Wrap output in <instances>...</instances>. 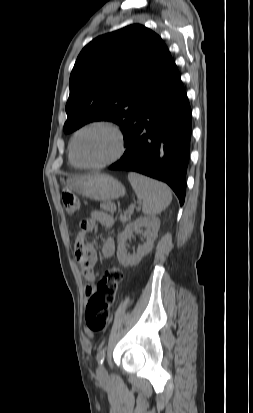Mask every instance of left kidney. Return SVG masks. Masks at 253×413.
<instances>
[{
    "instance_id": "1",
    "label": "left kidney",
    "mask_w": 253,
    "mask_h": 413,
    "mask_svg": "<svg viewBox=\"0 0 253 413\" xmlns=\"http://www.w3.org/2000/svg\"><path fill=\"white\" fill-rule=\"evenodd\" d=\"M160 224L161 222L158 218L150 217H141L134 222L129 223L125 227V230L118 235L117 258L119 263L124 266H133L138 264L141 259L152 250L154 240L156 239L160 229ZM142 227H145L144 236L146 237V242L142 246L138 247L137 253H127L125 248L127 239L134 231L139 230Z\"/></svg>"
}]
</instances>
